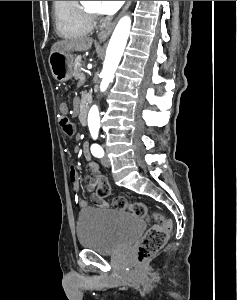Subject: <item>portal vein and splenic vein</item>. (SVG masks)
Returning <instances> with one entry per match:
<instances>
[{"mask_svg": "<svg viewBox=\"0 0 237 300\" xmlns=\"http://www.w3.org/2000/svg\"><path fill=\"white\" fill-rule=\"evenodd\" d=\"M80 75H81L82 77H79V80L84 81V77H83V76H84L85 74L82 72Z\"/></svg>", "mask_w": 237, "mask_h": 300, "instance_id": "1", "label": "portal vein and splenic vein"}]
</instances>
